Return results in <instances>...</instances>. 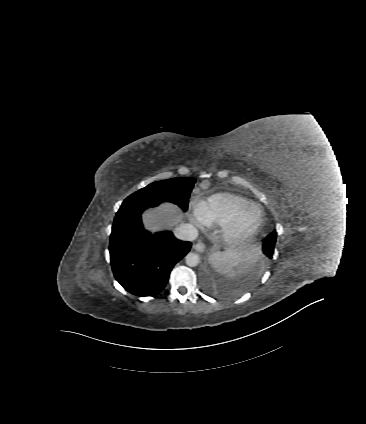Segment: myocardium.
Segmentation results:
<instances>
[{
  "label": "myocardium",
  "mask_w": 366,
  "mask_h": 424,
  "mask_svg": "<svg viewBox=\"0 0 366 424\" xmlns=\"http://www.w3.org/2000/svg\"><path fill=\"white\" fill-rule=\"evenodd\" d=\"M251 209H255L257 212L256 220L250 228L244 229L242 227L243 217L246 212ZM262 223L263 215L261 209L255 204H247L240 208L235 215L222 226L219 232V239L225 245H239L255 237L261 229Z\"/></svg>",
  "instance_id": "obj_1"
}]
</instances>
